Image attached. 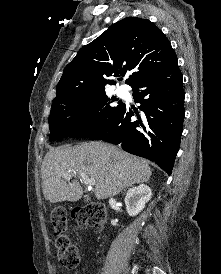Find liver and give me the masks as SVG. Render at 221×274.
<instances>
[{
	"label": "liver",
	"mask_w": 221,
	"mask_h": 274,
	"mask_svg": "<svg viewBox=\"0 0 221 274\" xmlns=\"http://www.w3.org/2000/svg\"><path fill=\"white\" fill-rule=\"evenodd\" d=\"M70 173L71 178L63 176ZM80 173L95 179V196L107 199L134 184L147 182L152 171L143 159L104 142H84L50 150L41 166L42 190L50 203L74 202L83 195ZM64 178V180L62 179Z\"/></svg>",
	"instance_id": "liver-1"
}]
</instances>
